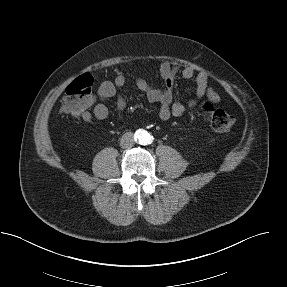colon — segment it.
Wrapping results in <instances>:
<instances>
[{"mask_svg": "<svg viewBox=\"0 0 287 287\" xmlns=\"http://www.w3.org/2000/svg\"><path fill=\"white\" fill-rule=\"evenodd\" d=\"M93 98V78L86 73L77 77L67 86L61 109L68 115L81 117L92 105ZM202 111L206 120L216 131H228L234 124L231 114L211 103H203Z\"/></svg>", "mask_w": 287, "mask_h": 287, "instance_id": "5ec220e1", "label": "colon"}]
</instances>
